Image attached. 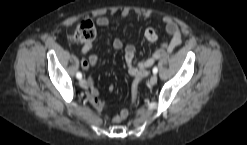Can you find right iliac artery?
Instances as JSON below:
<instances>
[{"label":"right iliac artery","instance_id":"obj_1","mask_svg":"<svg viewBox=\"0 0 247 145\" xmlns=\"http://www.w3.org/2000/svg\"><path fill=\"white\" fill-rule=\"evenodd\" d=\"M76 77H77L78 79H81V78H82V74H81L80 72H78V73L76 74Z\"/></svg>","mask_w":247,"mask_h":145}]
</instances>
